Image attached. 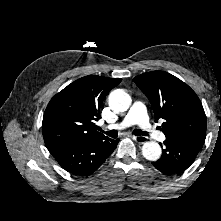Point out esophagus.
<instances>
[{"mask_svg":"<svg viewBox=\"0 0 221 221\" xmlns=\"http://www.w3.org/2000/svg\"><path fill=\"white\" fill-rule=\"evenodd\" d=\"M132 138L134 139V141H136L139 144H143L148 140V138L145 136H132Z\"/></svg>","mask_w":221,"mask_h":221,"instance_id":"obj_1","label":"esophagus"}]
</instances>
